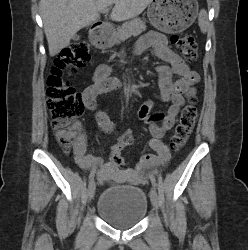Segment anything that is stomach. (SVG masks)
I'll return each mask as SVG.
<instances>
[{
	"label": "stomach",
	"instance_id": "stomach-1",
	"mask_svg": "<svg viewBox=\"0 0 248 250\" xmlns=\"http://www.w3.org/2000/svg\"><path fill=\"white\" fill-rule=\"evenodd\" d=\"M197 15L196 0H154L147 9L150 23L164 33H177L187 29Z\"/></svg>",
	"mask_w": 248,
	"mask_h": 250
}]
</instances>
